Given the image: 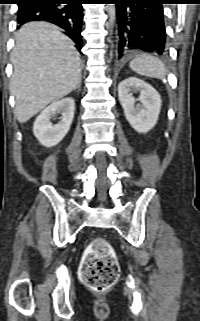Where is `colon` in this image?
<instances>
[{
  "label": "colon",
  "instance_id": "5ec220e1",
  "mask_svg": "<svg viewBox=\"0 0 200 321\" xmlns=\"http://www.w3.org/2000/svg\"><path fill=\"white\" fill-rule=\"evenodd\" d=\"M119 275V266L111 245L103 238L94 239L86 250L80 276L95 291L111 287Z\"/></svg>",
  "mask_w": 200,
  "mask_h": 321
}]
</instances>
